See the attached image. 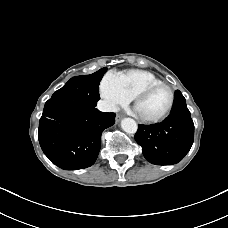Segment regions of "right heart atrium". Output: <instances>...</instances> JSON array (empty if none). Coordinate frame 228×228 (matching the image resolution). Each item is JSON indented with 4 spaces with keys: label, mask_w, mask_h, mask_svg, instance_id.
Masks as SVG:
<instances>
[{
    "label": "right heart atrium",
    "mask_w": 228,
    "mask_h": 228,
    "mask_svg": "<svg viewBox=\"0 0 228 228\" xmlns=\"http://www.w3.org/2000/svg\"><path fill=\"white\" fill-rule=\"evenodd\" d=\"M99 90L105 107L110 111H114L119 106L128 104L131 100V98L122 89L117 75L113 73H107L102 78Z\"/></svg>",
    "instance_id": "1"
}]
</instances>
